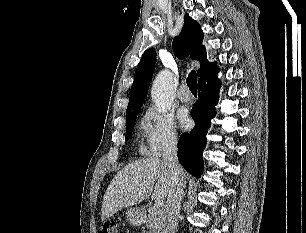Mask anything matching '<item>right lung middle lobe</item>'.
<instances>
[{"instance_id":"right-lung-middle-lobe-1","label":"right lung middle lobe","mask_w":306,"mask_h":233,"mask_svg":"<svg viewBox=\"0 0 306 233\" xmlns=\"http://www.w3.org/2000/svg\"><path fill=\"white\" fill-rule=\"evenodd\" d=\"M138 113L139 111L131 115H128L126 118V135H125L126 140H128L131 137L132 130H133Z\"/></svg>"}]
</instances>
